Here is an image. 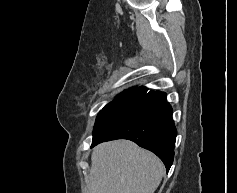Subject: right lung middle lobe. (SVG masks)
I'll return each instance as SVG.
<instances>
[{
  "mask_svg": "<svg viewBox=\"0 0 237 193\" xmlns=\"http://www.w3.org/2000/svg\"><path fill=\"white\" fill-rule=\"evenodd\" d=\"M134 90H135V87L132 88V89H129V90L123 92V93H121L120 95H117L113 101L109 102V103L102 109V111H103V110H106V109H108V108H110V107H112V106H114V105H116V104H118V103H120V102L123 101L125 98H127Z\"/></svg>",
  "mask_w": 237,
  "mask_h": 193,
  "instance_id": "dd1d6c3e",
  "label": "right lung middle lobe"
}]
</instances>
